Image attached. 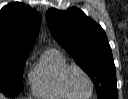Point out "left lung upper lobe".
Instances as JSON below:
<instances>
[{"label": "left lung upper lobe", "instance_id": "obj_1", "mask_svg": "<svg viewBox=\"0 0 128 99\" xmlns=\"http://www.w3.org/2000/svg\"><path fill=\"white\" fill-rule=\"evenodd\" d=\"M46 16L54 38L93 81L98 99L117 95L112 50L101 26L76 7L66 11L52 8Z\"/></svg>", "mask_w": 128, "mask_h": 99}]
</instances>
